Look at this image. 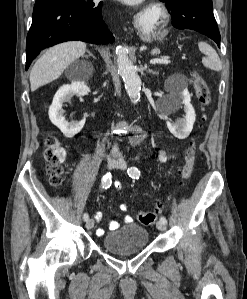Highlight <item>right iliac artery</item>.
<instances>
[{"mask_svg": "<svg viewBox=\"0 0 247 299\" xmlns=\"http://www.w3.org/2000/svg\"><path fill=\"white\" fill-rule=\"evenodd\" d=\"M111 174L110 173H107L106 175L103 176V179H102V188L103 189H107L111 186ZM89 218V215L87 213H85L83 215V220L84 221H87Z\"/></svg>", "mask_w": 247, "mask_h": 299, "instance_id": "obj_1", "label": "right iliac artery"}]
</instances>
